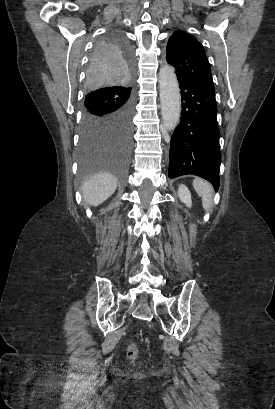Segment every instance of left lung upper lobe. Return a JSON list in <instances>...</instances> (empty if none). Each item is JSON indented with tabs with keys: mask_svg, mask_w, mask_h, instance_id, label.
Segmentation results:
<instances>
[{
	"mask_svg": "<svg viewBox=\"0 0 275 409\" xmlns=\"http://www.w3.org/2000/svg\"><path fill=\"white\" fill-rule=\"evenodd\" d=\"M166 60L175 67L178 78H189L214 88L203 46L191 35L182 31L173 33L167 44Z\"/></svg>",
	"mask_w": 275,
	"mask_h": 409,
	"instance_id": "left-lung-upper-lobe-1",
	"label": "left lung upper lobe"
}]
</instances>
